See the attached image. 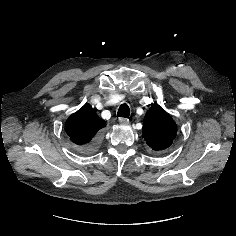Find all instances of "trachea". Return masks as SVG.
Instances as JSON below:
<instances>
[{"label":"trachea","instance_id":"trachea-1","mask_svg":"<svg viewBox=\"0 0 236 236\" xmlns=\"http://www.w3.org/2000/svg\"><path fill=\"white\" fill-rule=\"evenodd\" d=\"M129 115H130L129 106L127 104H122L118 109L117 116L123 117V118H128Z\"/></svg>","mask_w":236,"mask_h":236}]
</instances>
